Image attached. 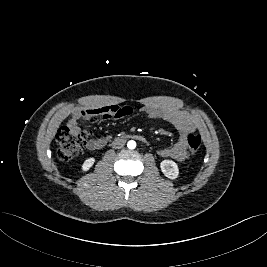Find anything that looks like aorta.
Segmentation results:
<instances>
[{"label":"aorta","mask_w":267,"mask_h":267,"mask_svg":"<svg viewBox=\"0 0 267 267\" xmlns=\"http://www.w3.org/2000/svg\"><path fill=\"white\" fill-rule=\"evenodd\" d=\"M127 147H128L129 149H135V148H136V142L133 141V140L128 141V143H127Z\"/></svg>","instance_id":"aorta-1"}]
</instances>
